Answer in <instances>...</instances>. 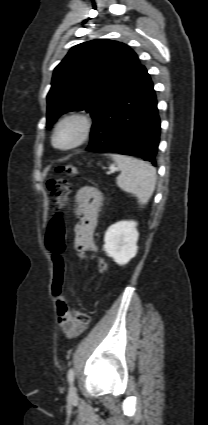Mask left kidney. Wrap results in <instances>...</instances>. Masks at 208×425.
I'll list each match as a JSON object with an SVG mask.
<instances>
[{
	"instance_id": "obj_1",
	"label": "left kidney",
	"mask_w": 208,
	"mask_h": 425,
	"mask_svg": "<svg viewBox=\"0 0 208 425\" xmlns=\"http://www.w3.org/2000/svg\"><path fill=\"white\" fill-rule=\"evenodd\" d=\"M134 221H120L111 225L104 237V250L119 265L127 264L137 254L139 233Z\"/></svg>"
}]
</instances>
